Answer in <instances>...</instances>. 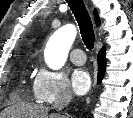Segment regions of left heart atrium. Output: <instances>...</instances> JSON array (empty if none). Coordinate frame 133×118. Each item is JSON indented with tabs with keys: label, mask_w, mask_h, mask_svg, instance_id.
I'll return each mask as SVG.
<instances>
[{
	"label": "left heart atrium",
	"mask_w": 133,
	"mask_h": 118,
	"mask_svg": "<svg viewBox=\"0 0 133 118\" xmlns=\"http://www.w3.org/2000/svg\"><path fill=\"white\" fill-rule=\"evenodd\" d=\"M91 86V79L85 70L78 69L72 75V89L78 95L86 94Z\"/></svg>",
	"instance_id": "left-heart-atrium-1"
}]
</instances>
